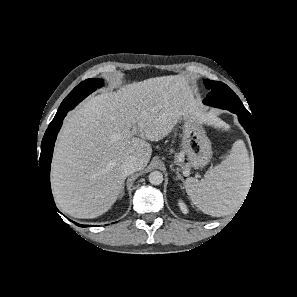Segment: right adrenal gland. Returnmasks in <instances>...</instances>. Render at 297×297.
Returning a JSON list of instances; mask_svg holds the SVG:
<instances>
[{
  "label": "right adrenal gland",
  "mask_w": 297,
  "mask_h": 297,
  "mask_svg": "<svg viewBox=\"0 0 297 297\" xmlns=\"http://www.w3.org/2000/svg\"><path fill=\"white\" fill-rule=\"evenodd\" d=\"M124 196V185L120 191V194H119V199H121L122 197Z\"/></svg>",
  "instance_id": "right-adrenal-gland-1"
}]
</instances>
